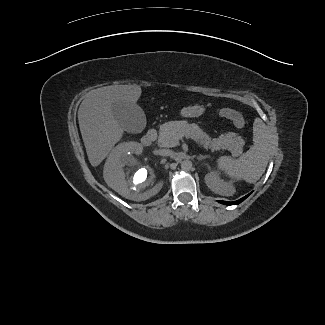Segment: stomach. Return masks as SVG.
<instances>
[{
	"label": "stomach",
	"instance_id": "obj_1",
	"mask_svg": "<svg viewBox=\"0 0 325 325\" xmlns=\"http://www.w3.org/2000/svg\"><path fill=\"white\" fill-rule=\"evenodd\" d=\"M205 112V108L201 105H194L189 107H184L181 110V115L183 117H199Z\"/></svg>",
	"mask_w": 325,
	"mask_h": 325
}]
</instances>
